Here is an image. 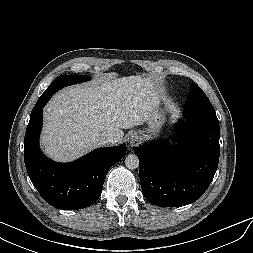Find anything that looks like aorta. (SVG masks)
<instances>
[{"label": "aorta", "mask_w": 253, "mask_h": 253, "mask_svg": "<svg viewBox=\"0 0 253 253\" xmlns=\"http://www.w3.org/2000/svg\"><path fill=\"white\" fill-rule=\"evenodd\" d=\"M125 165L130 170H134V169L138 168V166H139V158H138V156L135 155V154H129L125 158Z\"/></svg>", "instance_id": "obj_1"}]
</instances>
